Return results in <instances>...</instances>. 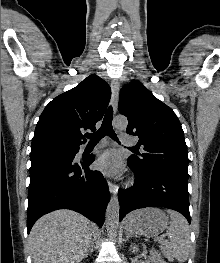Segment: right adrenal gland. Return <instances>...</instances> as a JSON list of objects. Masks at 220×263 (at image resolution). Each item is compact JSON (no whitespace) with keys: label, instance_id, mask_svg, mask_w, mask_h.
<instances>
[{"label":"right adrenal gland","instance_id":"1","mask_svg":"<svg viewBox=\"0 0 220 263\" xmlns=\"http://www.w3.org/2000/svg\"><path fill=\"white\" fill-rule=\"evenodd\" d=\"M92 252H94V242H93V241H91L90 247H89V249L87 250V252H86V254H85L84 257H87V256H88L90 253H92Z\"/></svg>","mask_w":220,"mask_h":263}]
</instances>
